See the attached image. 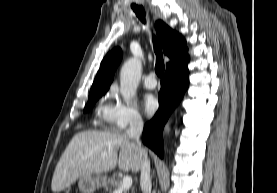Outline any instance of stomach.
I'll return each instance as SVG.
<instances>
[{"label":"stomach","instance_id":"stomach-1","mask_svg":"<svg viewBox=\"0 0 277 193\" xmlns=\"http://www.w3.org/2000/svg\"><path fill=\"white\" fill-rule=\"evenodd\" d=\"M107 185V177L104 175H88L79 178L78 186L81 193H93L96 189Z\"/></svg>","mask_w":277,"mask_h":193}]
</instances>
